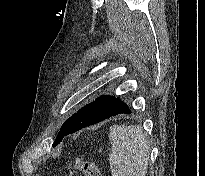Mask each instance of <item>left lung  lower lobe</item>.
I'll list each match as a JSON object with an SVG mask.
<instances>
[{
    "instance_id": "1",
    "label": "left lung lower lobe",
    "mask_w": 205,
    "mask_h": 176,
    "mask_svg": "<svg viewBox=\"0 0 205 176\" xmlns=\"http://www.w3.org/2000/svg\"><path fill=\"white\" fill-rule=\"evenodd\" d=\"M131 113L125 103L113 96H100L95 101L81 108L72 119L64 136L81 130L87 126L99 123L110 117Z\"/></svg>"
}]
</instances>
